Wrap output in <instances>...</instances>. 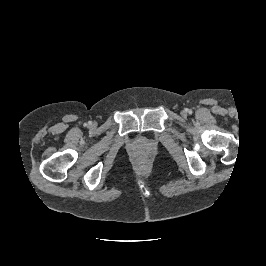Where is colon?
<instances>
[{"label": "colon", "mask_w": 266, "mask_h": 266, "mask_svg": "<svg viewBox=\"0 0 266 266\" xmlns=\"http://www.w3.org/2000/svg\"><path fill=\"white\" fill-rule=\"evenodd\" d=\"M145 163L144 162H141V165L143 166Z\"/></svg>", "instance_id": "colon-1"}]
</instances>
